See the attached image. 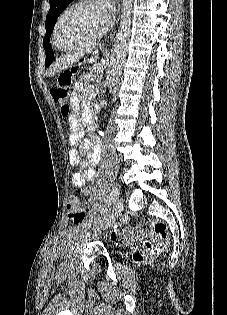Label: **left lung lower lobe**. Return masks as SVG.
Listing matches in <instances>:
<instances>
[{
    "label": "left lung lower lobe",
    "instance_id": "0a47b994",
    "mask_svg": "<svg viewBox=\"0 0 227 315\" xmlns=\"http://www.w3.org/2000/svg\"><path fill=\"white\" fill-rule=\"evenodd\" d=\"M53 59H54V53H52V51L50 50L49 51V58L46 62V66H49L52 63Z\"/></svg>",
    "mask_w": 227,
    "mask_h": 315
}]
</instances>
